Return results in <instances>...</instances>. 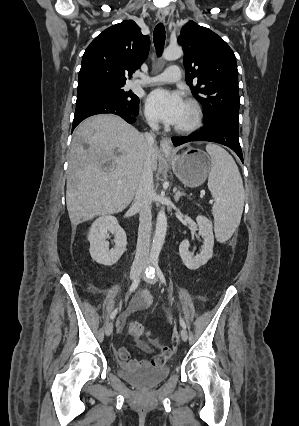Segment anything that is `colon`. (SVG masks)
<instances>
[{"label": "colon", "instance_id": "1", "mask_svg": "<svg viewBox=\"0 0 299 426\" xmlns=\"http://www.w3.org/2000/svg\"><path fill=\"white\" fill-rule=\"evenodd\" d=\"M129 333L136 338H140L142 336L148 335L145 327L140 322H137V321L130 323ZM152 342L155 346L160 348L162 351H165L167 353L170 352L169 348L161 346V343H160L159 340L154 339V340H152Z\"/></svg>", "mask_w": 299, "mask_h": 426}]
</instances>
